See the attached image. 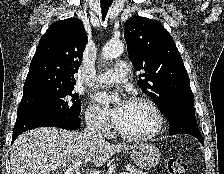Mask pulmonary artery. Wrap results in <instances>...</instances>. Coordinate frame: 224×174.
<instances>
[{
	"instance_id": "e3ab8cb5",
	"label": "pulmonary artery",
	"mask_w": 224,
	"mask_h": 174,
	"mask_svg": "<svg viewBox=\"0 0 224 174\" xmlns=\"http://www.w3.org/2000/svg\"><path fill=\"white\" fill-rule=\"evenodd\" d=\"M129 66L125 62H119L115 67L95 78V83L99 85L120 84L126 81Z\"/></svg>"
}]
</instances>
